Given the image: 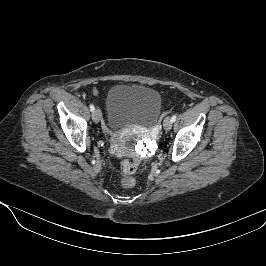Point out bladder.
I'll use <instances>...</instances> for the list:
<instances>
[{
    "label": "bladder",
    "mask_w": 266,
    "mask_h": 266,
    "mask_svg": "<svg viewBox=\"0 0 266 266\" xmlns=\"http://www.w3.org/2000/svg\"><path fill=\"white\" fill-rule=\"evenodd\" d=\"M162 99L155 89L135 84H116L106 97L107 124L117 131L127 126L154 125L160 115Z\"/></svg>",
    "instance_id": "bladder-1"
}]
</instances>
